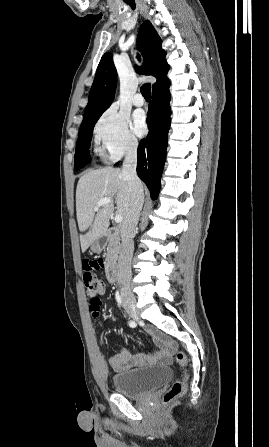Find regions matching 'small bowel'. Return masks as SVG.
<instances>
[{
	"instance_id": "c3829d8e",
	"label": "small bowel",
	"mask_w": 269,
	"mask_h": 447,
	"mask_svg": "<svg viewBox=\"0 0 269 447\" xmlns=\"http://www.w3.org/2000/svg\"><path fill=\"white\" fill-rule=\"evenodd\" d=\"M146 332L154 340L157 351L151 354H132V345L128 344L117 354L109 358L110 366L117 372L144 365L146 363L168 364L172 360L174 345L164 340V334L153 327H147Z\"/></svg>"
}]
</instances>
